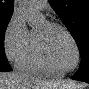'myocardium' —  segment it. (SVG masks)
Returning <instances> with one entry per match:
<instances>
[{"instance_id":"obj_1","label":"myocardium","mask_w":89,"mask_h":89,"mask_svg":"<svg viewBox=\"0 0 89 89\" xmlns=\"http://www.w3.org/2000/svg\"><path fill=\"white\" fill-rule=\"evenodd\" d=\"M61 29L63 30L66 35L69 37V39L71 40L75 51H76V62L75 65L67 70H59L57 69L53 63H52V59L50 56V52H49V48H48V43H47V34L49 32H51L53 29ZM37 38H38V42H39V47L41 50V53L45 59L46 64L49 66V68L54 71L55 73H57L58 75L62 76L65 75L71 71H74L80 64V49L79 46L77 44L76 39L74 38V36L72 35V33L70 32V30L64 26L63 24H60L58 22H53V21H46L45 22V28L44 30L41 31H37Z\"/></svg>"}]
</instances>
